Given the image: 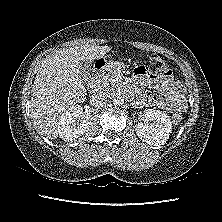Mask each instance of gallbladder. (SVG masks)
I'll use <instances>...</instances> for the list:
<instances>
[{"label": "gallbladder", "instance_id": "obj_1", "mask_svg": "<svg viewBox=\"0 0 222 222\" xmlns=\"http://www.w3.org/2000/svg\"><path fill=\"white\" fill-rule=\"evenodd\" d=\"M80 67H81V75L83 79L85 80L84 81V84H85L88 78L90 77L91 63L89 61H82Z\"/></svg>", "mask_w": 222, "mask_h": 222}]
</instances>
